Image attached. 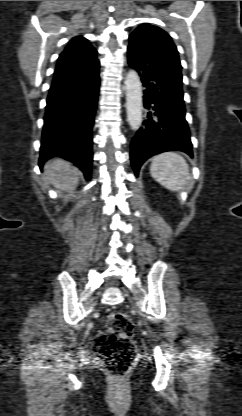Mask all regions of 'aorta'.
I'll use <instances>...</instances> for the list:
<instances>
[{
    "instance_id": "762f6f07",
    "label": "aorta",
    "mask_w": 242,
    "mask_h": 416,
    "mask_svg": "<svg viewBox=\"0 0 242 416\" xmlns=\"http://www.w3.org/2000/svg\"><path fill=\"white\" fill-rule=\"evenodd\" d=\"M127 121L132 130H138L142 123V86L138 73L130 70L125 80Z\"/></svg>"
}]
</instances>
